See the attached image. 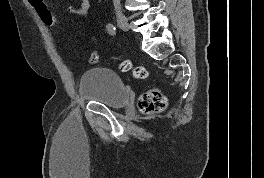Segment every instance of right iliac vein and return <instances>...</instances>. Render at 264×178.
<instances>
[{"label": "right iliac vein", "mask_w": 264, "mask_h": 178, "mask_svg": "<svg viewBox=\"0 0 264 178\" xmlns=\"http://www.w3.org/2000/svg\"><path fill=\"white\" fill-rule=\"evenodd\" d=\"M116 20H117V23H118L120 29H122L125 32H127L129 30L128 21L122 13L116 14Z\"/></svg>", "instance_id": "obj_1"}]
</instances>
